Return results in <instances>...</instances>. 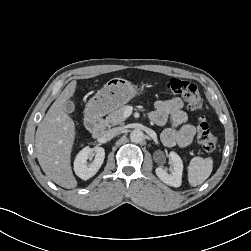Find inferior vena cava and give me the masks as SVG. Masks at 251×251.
<instances>
[{"label":"inferior vena cava","instance_id":"602c4592","mask_svg":"<svg viewBox=\"0 0 251 251\" xmlns=\"http://www.w3.org/2000/svg\"><path fill=\"white\" fill-rule=\"evenodd\" d=\"M121 129L120 128H112V129H108L104 132L102 138L105 141H109L111 139H113L114 137H116L119 133H120Z\"/></svg>","mask_w":251,"mask_h":251}]
</instances>
